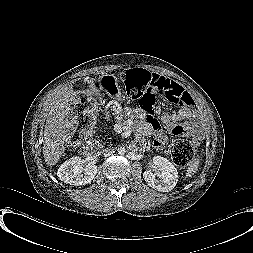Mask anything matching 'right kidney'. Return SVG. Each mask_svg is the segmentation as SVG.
Returning <instances> with one entry per match:
<instances>
[{
  "mask_svg": "<svg viewBox=\"0 0 253 253\" xmlns=\"http://www.w3.org/2000/svg\"><path fill=\"white\" fill-rule=\"evenodd\" d=\"M84 159L75 156L65 161L58 169L57 176L61 181L70 185H86L97 174L98 167L94 164L83 166Z\"/></svg>",
  "mask_w": 253,
  "mask_h": 253,
  "instance_id": "ca27d5eb",
  "label": "right kidney"
}]
</instances>
